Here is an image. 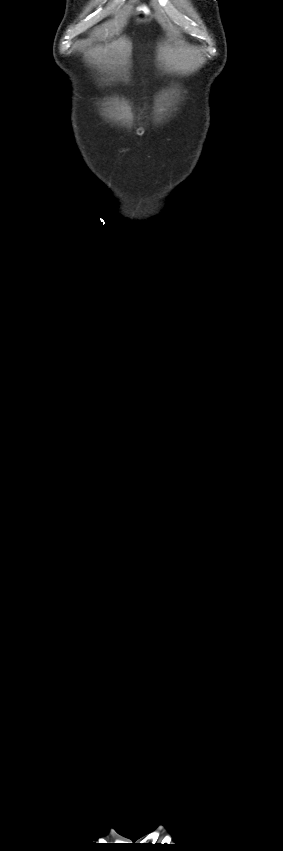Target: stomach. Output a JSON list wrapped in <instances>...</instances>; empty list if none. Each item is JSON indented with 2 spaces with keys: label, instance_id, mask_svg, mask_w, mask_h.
Returning a JSON list of instances; mask_svg holds the SVG:
<instances>
[{
  "label": "stomach",
  "instance_id": "1",
  "mask_svg": "<svg viewBox=\"0 0 283 851\" xmlns=\"http://www.w3.org/2000/svg\"><path fill=\"white\" fill-rule=\"evenodd\" d=\"M136 20H137L138 22H146V21H148V20H151V17H149L148 15H145V14H141V15H138V16L136 17Z\"/></svg>",
  "mask_w": 283,
  "mask_h": 851
}]
</instances>
